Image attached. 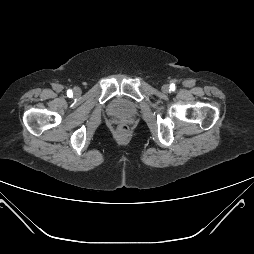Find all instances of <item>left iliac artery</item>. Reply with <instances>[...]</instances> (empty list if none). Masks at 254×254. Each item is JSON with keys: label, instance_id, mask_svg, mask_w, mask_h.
<instances>
[{"label": "left iliac artery", "instance_id": "1", "mask_svg": "<svg viewBox=\"0 0 254 254\" xmlns=\"http://www.w3.org/2000/svg\"><path fill=\"white\" fill-rule=\"evenodd\" d=\"M170 89L173 91V90H175V85L174 84H171L170 85Z\"/></svg>", "mask_w": 254, "mask_h": 254}]
</instances>
